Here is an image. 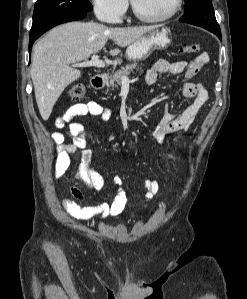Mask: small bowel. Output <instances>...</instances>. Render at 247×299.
I'll return each instance as SVG.
<instances>
[{"label": "small bowel", "mask_w": 247, "mask_h": 299, "mask_svg": "<svg viewBox=\"0 0 247 299\" xmlns=\"http://www.w3.org/2000/svg\"><path fill=\"white\" fill-rule=\"evenodd\" d=\"M208 60L209 56L205 52L199 54L191 62H169L161 59L147 71L145 82L148 85L155 84L160 74L184 73L186 81L182 84L180 92L183 96L192 99V102L178 115L172 113L168 107L165 108L160 122L152 133L153 137L160 144L164 143L166 135L170 133L189 130L196 115L206 103L208 93L204 85L193 83L189 80L200 72ZM85 115L99 116L102 120L106 121L111 118L112 113L110 109L103 107L96 101L90 100L72 105L55 120V126L58 129L63 128L67 124L69 134L72 137V142L67 144L65 142V135L61 131L57 130L52 133V140L56 145L57 154L55 175L56 177L62 176L69 168L72 156L78 150H82L81 161L74 175L77 184L72 185L70 188L73 199L61 196V201L65 210L76 219L90 221L98 217V219L104 220L108 217H115L121 214L126 207L127 197L122 188L121 177L114 176L113 182L117 187V192L111 203L99 202L94 205H81L79 203L83 200V194L79 186H83L93 192L100 191L104 186L103 177L91 164L92 151L86 148L87 141L84 126L77 122L78 118ZM115 138V134H112L110 137L111 140ZM144 187L146 189V201H150L159 193L160 186L157 180L146 179Z\"/></svg>", "instance_id": "obj_1"}]
</instances>
